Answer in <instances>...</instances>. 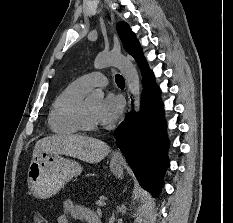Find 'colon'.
Instances as JSON below:
<instances>
[{
  "instance_id": "obj_1",
  "label": "colon",
  "mask_w": 233,
  "mask_h": 223,
  "mask_svg": "<svg viewBox=\"0 0 233 223\" xmlns=\"http://www.w3.org/2000/svg\"><path fill=\"white\" fill-rule=\"evenodd\" d=\"M35 223H45V220L43 218H36Z\"/></svg>"
}]
</instances>
